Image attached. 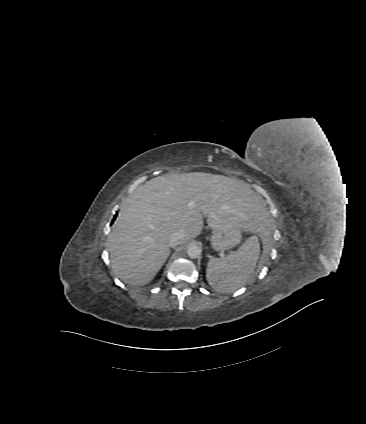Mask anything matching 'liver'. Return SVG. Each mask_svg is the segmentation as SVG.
Returning <instances> with one entry per match:
<instances>
[{"mask_svg":"<svg viewBox=\"0 0 366 424\" xmlns=\"http://www.w3.org/2000/svg\"><path fill=\"white\" fill-rule=\"evenodd\" d=\"M264 202L245 182L191 172L147 181L123 204L108 236L112 269L124 282L149 283L170 254L169 237H197L204 217L216 231L239 226L263 237Z\"/></svg>","mask_w":366,"mask_h":424,"instance_id":"liver-1","label":"liver"}]
</instances>
